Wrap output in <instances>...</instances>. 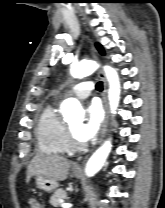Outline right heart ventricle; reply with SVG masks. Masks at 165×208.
I'll use <instances>...</instances> for the list:
<instances>
[{"mask_svg": "<svg viewBox=\"0 0 165 208\" xmlns=\"http://www.w3.org/2000/svg\"><path fill=\"white\" fill-rule=\"evenodd\" d=\"M37 145L41 152L49 155L68 153L65 124L53 103L48 104L40 114L36 126Z\"/></svg>", "mask_w": 165, "mask_h": 208, "instance_id": "right-heart-ventricle-1", "label": "right heart ventricle"}]
</instances>
